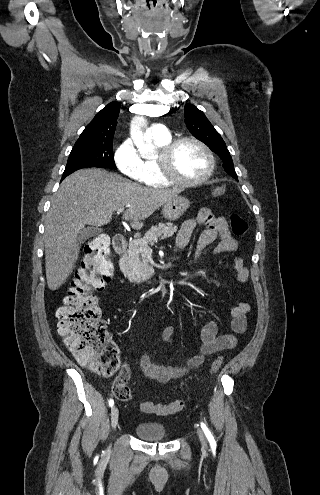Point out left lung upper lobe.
Instances as JSON below:
<instances>
[{
  "mask_svg": "<svg viewBox=\"0 0 320 495\" xmlns=\"http://www.w3.org/2000/svg\"><path fill=\"white\" fill-rule=\"evenodd\" d=\"M185 122L190 132L205 143L222 160L225 172L237 179L233 161L220 134L206 118L205 114L194 105L187 104L184 108Z\"/></svg>",
  "mask_w": 320,
  "mask_h": 495,
  "instance_id": "5c2ea615",
  "label": "left lung upper lobe"
}]
</instances>
